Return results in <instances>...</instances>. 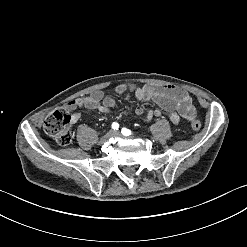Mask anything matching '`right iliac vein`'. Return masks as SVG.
I'll list each match as a JSON object with an SVG mask.
<instances>
[{"mask_svg":"<svg viewBox=\"0 0 247 247\" xmlns=\"http://www.w3.org/2000/svg\"><path fill=\"white\" fill-rule=\"evenodd\" d=\"M114 136V131L110 130L108 131L101 139L99 144H104L105 142H107L110 138H112Z\"/></svg>","mask_w":247,"mask_h":247,"instance_id":"obj_1","label":"right iliac vein"}]
</instances>
